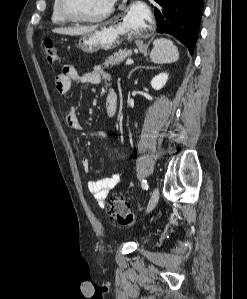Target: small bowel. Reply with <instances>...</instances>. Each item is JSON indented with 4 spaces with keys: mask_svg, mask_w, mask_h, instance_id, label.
<instances>
[{
    "mask_svg": "<svg viewBox=\"0 0 247 299\" xmlns=\"http://www.w3.org/2000/svg\"><path fill=\"white\" fill-rule=\"evenodd\" d=\"M106 76L104 71L100 67H94L93 69L79 74L72 66H65L62 72L56 75L55 85L59 94L66 97L74 83L77 84H91L95 85L101 81V78ZM114 104L117 106V96L114 91H110L106 97V104ZM65 119L67 125L74 130L82 128V124L75 113L74 107L71 103H67ZM94 135L105 136L103 131L95 132ZM81 167L85 173L90 172V161L87 158L81 160ZM122 178L121 173L113 174L110 177H103L94 179L88 182V189L96 200L100 207H104L105 201L112 189H114Z\"/></svg>",
    "mask_w": 247,
    "mask_h": 299,
    "instance_id": "1",
    "label": "small bowel"
}]
</instances>
